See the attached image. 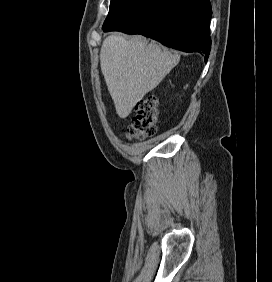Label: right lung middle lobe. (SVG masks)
<instances>
[{
  "mask_svg": "<svg viewBox=\"0 0 272 282\" xmlns=\"http://www.w3.org/2000/svg\"><path fill=\"white\" fill-rule=\"evenodd\" d=\"M137 0H111L108 16L103 24V28L116 20L127 9H129Z\"/></svg>",
  "mask_w": 272,
  "mask_h": 282,
  "instance_id": "1",
  "label": "right lung middle lobe"
}]
</instances>
